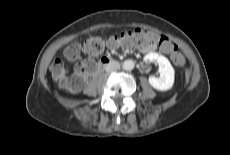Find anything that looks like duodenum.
I'll use <instances>...</instances> for the list:
<instances>
[{
    "instance_id": "410a0bca",
    "label": "duodenum",
    "mask_w": 230,
    "mask_h": 155,
    "mask_svg": "<svg viewBox=\"0 0 230 155\" xmlns=\"http://www.w3.org/2000/svg\"><path fill=\"white\" fill-rule=\"evenodd\" d=\"M112 61H113L112 58H110L108 56L103 57L99 62V65L97 67V71L102 70L105 66L112 63Z\"/></svg>"
}]
</instances>
